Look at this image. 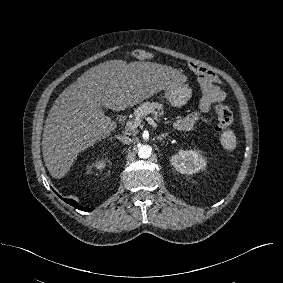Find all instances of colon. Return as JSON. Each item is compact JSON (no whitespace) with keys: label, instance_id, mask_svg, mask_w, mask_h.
<instances>
[{"label":"colon","instance_id":"5ec220e1","mask_svg":"<svg viewBox=\"0 0 283 283\" xmlns=\"http://www.w3.org/2000/svg\"><path fill=\"white\" fill-rule=\"evenodd\" d=\"M133 55L134 57L142 60L150 58V53L144 50H136L134 51ZM214 111L218 118V125L216 129L218 133L222 134L230 128L233 122V114L225 105H216Z\"/></svg>","mask_w":283,"mask_h":283}]
</instances>
